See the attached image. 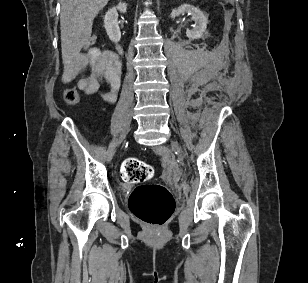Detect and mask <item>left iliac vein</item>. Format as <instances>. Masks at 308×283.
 <instances>
[{
    "label": "left iliac vein",
    "instance_id": "obj_1",
    "mask_svg": "<svg viewBox=\"0 0 308 283\" xmlns=\"http://www.w3.org/2000/svg\"><path fill=\"white\" fill-rule=\"evenodd\" d=\"M171 146H172V148L178 153V155H179L180 157H182V150H181L179 144H178L177 142H175V141H172V142H171Z\"/></svg>",
    "mask_w": 308,
    "mask_h": 283
}]
</instances>
